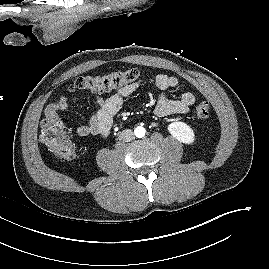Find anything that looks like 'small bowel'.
<instances>
[{
  "instance_id": "c3829d8e",
  "label": "small bowel",
  "mask_w": 269,
  "mask_h": 269,
  "mask_svg": "<svg viewBox=\"0 0 269 269\" xmlns=\"http://www.w3.org/2000/svg\"><path fill=\"white\" fill-rule=\"evenodd\" d=\"M151 81L163 91L160 95L154 113L158 117H175L187 113L195 103L196 96L192 92H185L179 99H171L167 96L168 90H176L179 87V80L175 76L166 74H156ZM142 81H137L120 87L109 97L96 96L97 109L87 124L76 128L79 136L90 135L108 136L112 126L113 117L120 111L127 97L132 95ZM72 99L66 95H61L56 101L51 102L45 110L47 118L59 120V113L70 108Z\"/></svg>"
}]
</instances>
